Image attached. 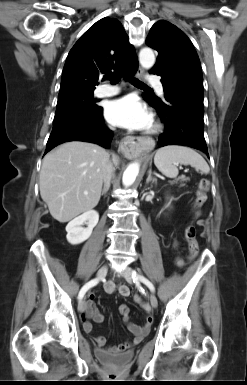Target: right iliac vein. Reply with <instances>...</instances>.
Listing matches in <instances>:
<instances>
[{
	"instance_id": "obj_1",
	"label": "right iliac vein",
	"mask_w": 247,
	"mask_h": 385,
	"mask_svg": "<svg viewBox=\"0 0 247 385\" xmlns=\"http://www.w3.org/2000/svg\"><path fill=\"white\" fill-rule=\"evenodd\" d=\"M107 271H108V266L107 265H103L97 272V278L98 279H102L105 277V275L107 274ZM86 309V302H85V299H82L79 304H78V310L79 312H84Z\"/></svg>"
}]
</instances>
